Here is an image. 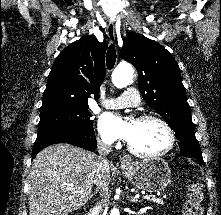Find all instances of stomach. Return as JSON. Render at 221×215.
<instances>
[{"mask_svg": "<svg viewBox=\"0 0 221 215\" xmlns=\"http://www.w3.org/2000/svg\"><path fill=\"white\" fill-rule=\"evenodd\" d=\"M122 170L133 186L146 192H160L170 182V168L161 158L122 164Z\"/></svg>", "mask_w": 221, "mask_h": 215, "instance_id": "obj_1", "label": "stomach"}]
</instances>
